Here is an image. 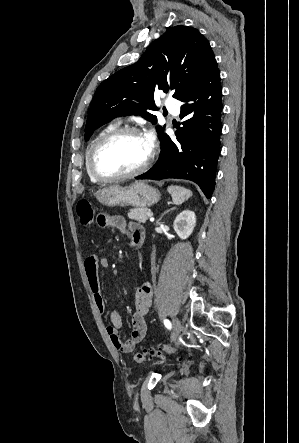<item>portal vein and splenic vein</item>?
Instances as JSON below:
<instances>
[{
    "instance_id": "obj_1",
    "label": "portal vein and splenic vein",
    "mask_w": 299,
    "mask_h": 443,
    "mask_svg": "<svg viewBox=\"0 0 299 443\" xmlns=\"http://www.w3.org/2000/svg\"><path fill=\"white\" fill-rule=\"evenodd\" d=\"M147 216H148V217H152V216H153V213H152V212H148V213H147Z\"/></svg>"
}]
</instances>
